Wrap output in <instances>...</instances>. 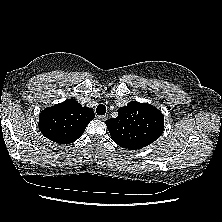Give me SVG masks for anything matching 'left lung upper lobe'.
Wrapping results in <instances>:
<instances>
[{
	"mask_svg": "<svg viewBox=\"0 0 222 222\" xmlns=\"http://www.w3.org/2000/svg\"><path fill=\"white\" fill-rule=\"evenodd\" d=\"M118 117L106 121L113 141L131 150L157 140L164 130V116L156 107L132 101L118 109Z\"/></svg>",
	"mask_w": 222,
	"mask_h": 222,
	"instance_id": "5c2ea615",
	"label": "left lung upper lobe"
}]
</instances>
